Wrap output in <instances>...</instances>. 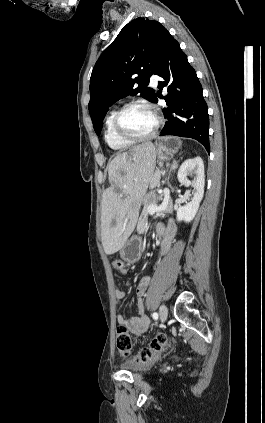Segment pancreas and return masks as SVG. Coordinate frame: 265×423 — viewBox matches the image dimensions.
<instances>
[{
	"mask_svg": "<svg viewBox=\"0 0 265 423\" xmlns=\"http://www.w3.org/2000/svg\"><path fill=\"white\" fill-rule=\"evenodd\" d=\"M158 201H159V196H157L154 192H149L144 197L143 210L137 224V231L139 233L143 232L146 227V222L149 215L148 207L150 205H157ZM172 211H173L172 199L170 198L169 203L167 207L165 208V210L163 211V213H172Z\"/></svg>",
	"mask_w": 265,
	"mask_h": 423,
	"instance_id": "1",
	"label": "pancreas"
}]
</instances>
